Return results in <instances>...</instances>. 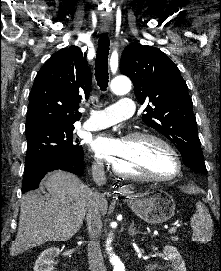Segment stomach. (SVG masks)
<instances>
[{
    "mask_svg": "<svg viewBox=\"0 0 221 271\" xmlns=\"http://www.w3.org/2000/svg\"><path fill=\"white\" fill-rule=\"evenodd\" d=\"M132 211L148 223L167 221L175 211V201L160 187H150L144 193H126Z\"/></svg>",
    "mask_w": 221,
    "mask_h": 271,
    "instance_id": "obj_1",
    "label": "stomach"
}]
</instances>
